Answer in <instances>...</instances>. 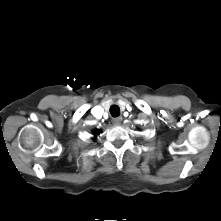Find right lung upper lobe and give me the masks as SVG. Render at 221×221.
Segmentation results:
<instances>
[{
	"mask_svg": "<svg viewBox=\"0 0 221 221\" xmlns=\"http://www.w3.org/2000/svg\"><path fill=\"white\" fill-rule=\"evenodd\" d=\"M93 133H94V135H96V134H98V133H99V131H94Z\"/></svg>",
	"mask_w": 221,
	"mask_h": 221,
	"instance_id": "right-lung-upper-lobe-1",
	"label": "right lung upper lobe"
}]
</instances>
